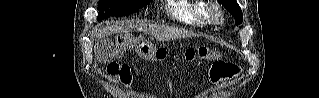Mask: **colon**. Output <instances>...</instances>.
Returning a JSON list of instances; mask_svg holds the SVG:
<instances>
[{
  "label": "colon",
  "mask_w": 319,
  "mask_h": 98,
  "mask_svg": "<svg viewBox=\"0 0 319 98\" xmlns=\"http://www.w3.org/2000/svg\"><path fill=\"white\" fill-rule=\"evenodd\" d=\"M117 51L122 55L128 50L135 51L142 59L160 64L164 62L168 53L164 48H157L151 42L141 37H132L129 35L119 36L116 40ZM218 53L207 47L186 49L180 54L173 57L176 61L194 62L197 60H214ZM107 73L111 76L118 77L124 84H130L131 75L128 67L111 63L107 67ZM239 73L237 65L229 62L215 60L209 69V79L213 83L220 81L232 80Z\"/></svg>",
  "instance_id": "5ec220e1"
}]
</instances>
